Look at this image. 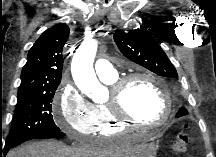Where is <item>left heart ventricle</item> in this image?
<instances>
[{
  "label": "left heart ventricle",
  "instance_id": "b2bd125f",
  "mask_svg": "<svg viewBox=\"0 0 216 157\" xmlns=\"http://www.w3.org/2000/svg\"><path fill=\"white\" fill-rule=\"evenodd\" d=\"M125 100L127 111L136 119L157 122L163 117V95L145 79L134 80L128 85Z\"/></svg>",
  "mask_w": 216,
  "mask_h": 157
}]
</instances>
